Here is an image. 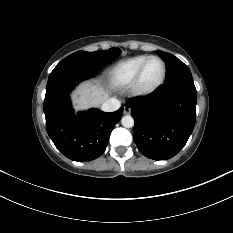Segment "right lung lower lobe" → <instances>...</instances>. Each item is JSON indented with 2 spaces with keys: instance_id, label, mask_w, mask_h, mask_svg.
Listing matches in <instances>:
<instances>
[{
  "instance_id": "98d812e1",
  "label": "right lung lower lobe",
  "mask_w": 233,
  "mask_h": 233,
  "mask_svg": "<svg viewBox=\"0 0 233 233\" xmlns=\"http://www.w3.org/2000/svg\"><path fill=\"white\" fill-rule=\"evenodd\" d=\"M93 73H58L49 76L44 100L46 129L58 150L74 161H91L106 149L110 134L120 120L123 108L107 113L90 109L74 114L70 92Z\"/></svg>"
}]
</instances>
